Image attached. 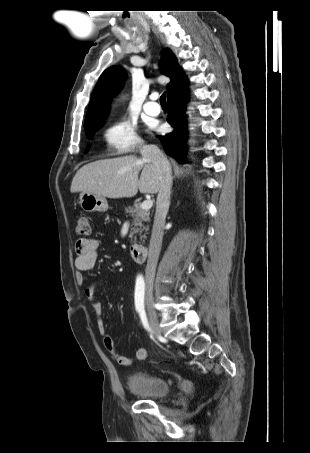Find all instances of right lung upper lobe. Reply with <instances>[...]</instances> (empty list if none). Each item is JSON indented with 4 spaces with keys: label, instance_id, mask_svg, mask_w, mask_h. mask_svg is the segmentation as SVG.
Wrapping results in <instances>:
<instances>
[{
    "label": "right lung upper lobe",
    "instance_id": "obj_1",
    "mask_svg": "<svg viewBox=\"0 0 310 453\" xmlns=\"http://www.w3.org/2000/svg\"><path fill=\"white\" fill-rule=\"evenodd\" d=\"M161 71L171 79L167 86L169 93L173 86L183 78V74L179 70L174 54L168 49L162 53ZM125 77L126 73L121 66H111L101 74L90 100L85 128L102 124L108 113L110 99L119 91Z\"/></svg>",
    "mask_w": 310,
    "mask_h": 453
}]
</instances>
